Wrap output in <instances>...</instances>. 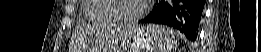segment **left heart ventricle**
I'll use <instances>...</instances> for the list:
<instances>
[{"instance_id":"left-heart-ventricle-1","label":"left heart ventricle","mask_w":261,"mask_h":52,"mask_svg":"<svg viewBox=\"0 0 261 52\" xmlns=\"http://www.w3.org/2000/svg\"><path fill=\"white\" fill-rule=\"evenodd\" d=\"M141 1L125 0L119 1L116 5V13L121 16L130 17L137 13Z\"/></svg>"}]
</instances>
